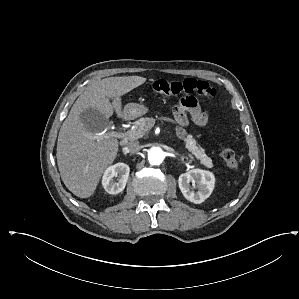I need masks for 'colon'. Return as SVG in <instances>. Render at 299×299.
I'll use <instances>...</instances> for the list:
<instances>
[{
    "instance_id": "5ec220e1",
    "label": "colon",
    "mask_w": 299,
    "mask_h": 299,
    "mask_svg": "<svg viewBox=\"0 0 299 299\" xmlns=\"http://www.w3.org/2000/svg\"><path fill=\"white\" fill-rule=\"evenodd\" d=\"M150 90L154 93L162 95L183 94L185 97H194V95H199L203 97L214 98L217 95V90L206 81L193 78H188L181 81L158 79L150 84ZM221 155L228 167L232 169L238 167L239 161L232 148H224Z\"/></svg>"
}]
</instances>
